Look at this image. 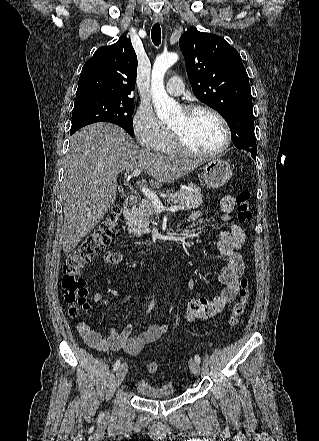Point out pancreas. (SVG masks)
I'll use <instances>...</instances> for the list:
<instances>
[{"label": "pancreas", "mask_w": 319, "mask_h": 441, "mask_svg": "<svg viewBox=\"0 0 319 441\" xmlns=\"http://www.w3.org/2000/svg\"><path fill=\"white\" fill-rule=\"evenodd\" d=\"M171 202L175 205H180L181 210L187 211L196 209L203 203V195L201 189L197 185L191 183L188 186V190H180L169 195ZM155 209L149 198L143 200L138 208L133 210L130 218L128 219V232L132 236L140 237L143 234L151 232L149 228L152 218L150 217L154 213Z\"/></svg>", "instance_id": "pancreas-1"}]
</instances>
